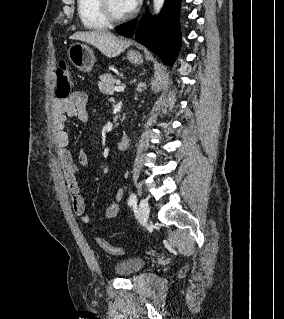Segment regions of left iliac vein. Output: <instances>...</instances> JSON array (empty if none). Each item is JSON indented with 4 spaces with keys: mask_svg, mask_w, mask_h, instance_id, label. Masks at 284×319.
I'll return each instance as SVG.
<instances>
[{
    "mask_svg": "<svg viewBox=\"0 0 284 319\" xmlns=\"http://www.w3.org/2000/svg\"><path fill=\"white\" fill-rule=\"evenodd\" d=\"M149 205L146 199H141L139 202V218L142 224H146L149 217Z\"/></svg>",
    "mask_w": 284,
    "mask_h": 319,
    "instance_id": "4c4485c4",
    "label": "left iliac vein"
}]
</instances>
